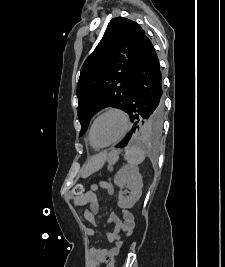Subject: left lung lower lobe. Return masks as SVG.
Returning a JSON list of instances; mask_svg holds the SVG:
<instances>
[{
	"label": "left lung lower lobe",
	"instance_id": "left-lung-lower-lobe-1",
	"mask_svg": "<svg viewBox=\"0 0 225 267\" xmlns=\"http://www.w3.org/2000/svg\"><path fill=\"white\" fill-rule=\"evenodd\" d=\"M162 75L155 49L147 37L134 72L128 111L134 121L130 134L116 147H125L140 120L151 117L157 126L162 125L164 105L162 98Z\"/></svg>",
	"mask_w": 225,
	"mask_h": 267
}]
</instances>
